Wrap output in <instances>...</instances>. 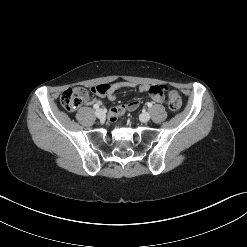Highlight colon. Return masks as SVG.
Masks as SVG:
<instances>
[{
	"mask_svg": "<svg viewBox=\"0 0 247 247\" xmlns=\"http://www.w3.org/2000/svg\"><path fill=\"white\" fill-rule=\"evenodd\" d=\"M109 84H99L93 86L91 91L98 95H104L108 92ZM87 92L82 87H74L65 90L60 98L62 106L67 111H75L78 109L83 101ZM168 96V107L171 111H178L182 106V99L178 91L170 89L168 85H155L149 89L150 100L155 103H163ZM143 98L137 97L136 99L126 100L123 104H116L110 112V121H115L117 117H123L126 113L134 112L142 107Z\"/></svg>",
	"mask_w": 247,
	"mask_h": 247,
	"instance_id": "5ec220e1",
	"label": "colon"
}]
</instances>
